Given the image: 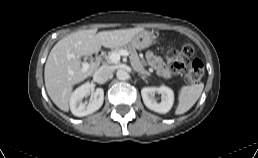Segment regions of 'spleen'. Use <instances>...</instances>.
<instances>
[{
    "label": "spleen",
    "instance_id": "3e777b00",
    "mask_svg": "<svg viewBox=\"0 0 258 158\" xmlns=\"http://www.w3.org/2000/svg\"><path fill=\"white\" fill-rule=\"evenodd\" d=\"M204 84H192L183 86L179 93V104L175 114L180 115L187 112L199 99L203 91Z\"/></svg>",
    "mask_w": 258,
    "mask_h": 158
}]
</instances>
